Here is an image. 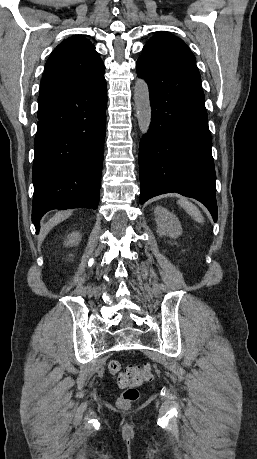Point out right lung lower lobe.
<instances>
[{
	"label": "right lung lower lobe",
	"instance_id": "obj_1",
	"mask_svg": "<svg viewBox=\"0 0 257 459\" xmlns=\"http://www.w3.org/2000/svg\"><path fill=\"white\" fill-rule=\"evenodd\" d=\"M107 106L104 75L38 97L32 221L52 209H97Z\"/></svg>",
	"mask_w": 257,
	"mask_h": 459
}]
</instances>
